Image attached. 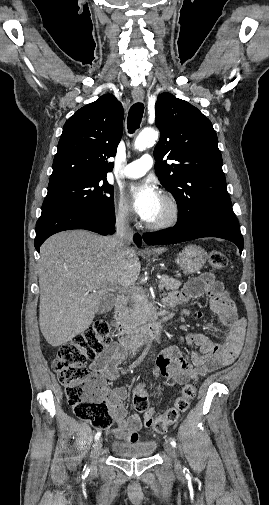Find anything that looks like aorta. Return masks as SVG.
<instances>
[{
	"label": "aorta",
	"mask_w": 269,
	"mask_h": 505,
	"mask_svg": "<svg viewBox=\"0 0 269 505\" xmlns=\"http://www.w3.org/2000/svg\"><path fill=\"white\" fill-rule=\"evenodd\" d=\"M158 139V132L153 128H146L142 130L135 139L134 148L137 150H144L152 146Z\"/></svg>",
	"instance_id": "aorta-1"
}]
</instances>
